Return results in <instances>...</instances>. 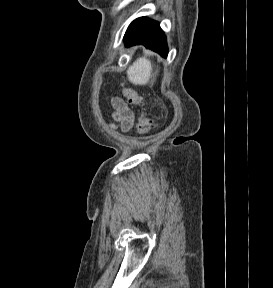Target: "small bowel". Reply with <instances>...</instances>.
<instances>
[{
  "instance_id": "c3829d8e",
  "label": "small bowel",
  "mask_w": 273,
  "mask_h": 288,
  "mask_svg": "<svg viewBox=\"0 0 273 288\" xmlns=\"http://www.w3.org/2000/svg\"><path fill=\"white\" fill-rule=\"evenodd\" d=\"M111 105L114 109V127L119 128L122 132H128L134 125L135 116L133 111L128 104L119 97L112 98Z\"/></svg>"
}]
</instances>
